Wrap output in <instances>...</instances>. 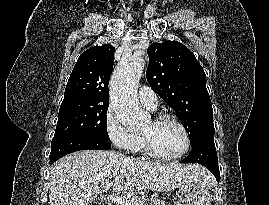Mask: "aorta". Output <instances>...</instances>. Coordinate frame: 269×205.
<instances>
[{
    "label": "aorta",
    "instance_id": "1",
    "mask_svg": "<svg viewBox=\"0 0 269 205\" xmlns=\"http://www.w3.org/2000/svg\"><path fill=\"white\" fill-rule=\"evenodd\" d=\"M145 61L140 55L122 57L110 82V99L116 118L125 126L136 128L147 120L136 96V87Z\"/></svg>",
    "mask_w": 269,
    "mask_h": 205
}]
</instances>
